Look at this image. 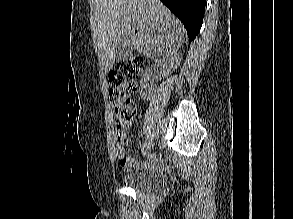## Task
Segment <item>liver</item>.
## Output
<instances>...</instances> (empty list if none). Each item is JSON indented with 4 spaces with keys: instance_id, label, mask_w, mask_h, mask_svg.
Instances as JSON below:
<instances>
[{
    "instance_id": "obj_1",
    "label": "liver",
    "mask_w": 293,
    "mask_h": 219,
    "mask_svg": "<svg viewBox=\"0 0 293 219\" xmlns=\"http://www.w3.org/2000/svg\"><path fill=\"white\" fill-rule=\"evenodd\" d=\"M94 15L93 43L105 71L112 68L124 35L146 57L170 55L184 42L183 26L160 0H95Z\"/></svg>"
}]
</instances>
